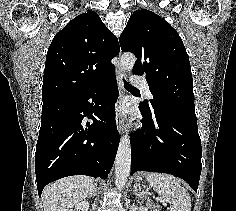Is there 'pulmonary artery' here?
I'll use <instances>...</instances> for the list:
<instances>
[{"mask_svg":"<svg viewBox=\"0 0 236 211\" xmlns=\"http://www.w3.org/2000/svg\"><path fill=\"white\" fill-rule=\"evenodd\" d=\"M132 82L136 87L140 88L149 99L153 98L152 94L150 93L149 86L146 79L134 77Z\"/></svg>","mask_w":236,"mask_h":211,"instance_id":"obj_1","label":"pulmonary artery"}]
</instances>
